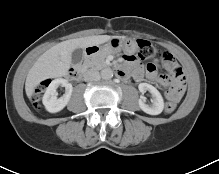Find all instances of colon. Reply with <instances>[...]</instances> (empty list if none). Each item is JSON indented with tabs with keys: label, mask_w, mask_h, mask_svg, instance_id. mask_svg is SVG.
Instances as JSON below:
<instances>
[{
	"label": "colon",
	"mask_w": 219,
	"mask_h": 174,
	"mask_svg": "<svg viewBox=\"0 0 219 174\" xmlns=\"http://www.w3.org/2000/svg\"><path fill=\"white\" fill-rule=\"evenodd\" d=\"M138 44V57L142 60H155V61H161L164 59V53H162L160 50H158L151 42L147 40L140 39L137 41ZM50 80H44L42 81L34 90L32 95V100L36 106L39 105L41 96L44 92V90L49 85ZM176 103L175 102H167L165 105V112L166 113H172L176 109Z\"/></svg>",
	"instance_id": "1"
}]
</instances>
